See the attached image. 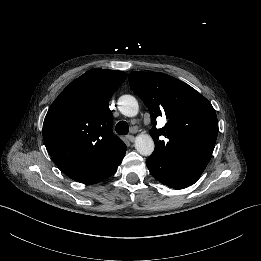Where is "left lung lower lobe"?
Returning <instances> with one entry per match:
<instances>
[{
    "label": "left lung lower lobe",
    "mask_w": 261,
    "mask_h": 261,
    "mask_svg": "<svg viewBox=\"0 0 261 261\" xmlns=\"http://www.w3.org/2000/svg\"><path fill=\"white\" fill-rule=\"evenodd\" d=\"M146 165L156 180L174 189L194 184L204 171L202 168L173 163L155 155L149 156Z\"/></svg>",
    "instance_id": "0a47b994"
}]
</instances>
